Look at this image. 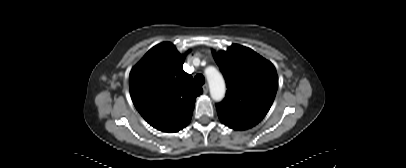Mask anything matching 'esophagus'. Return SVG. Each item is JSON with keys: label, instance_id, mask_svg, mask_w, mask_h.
<instances>
[{"label": "esophagus", "instance_id": "1", "mask_svg": "<svg viewBox=\"0 0 406 168\" xmlns=\"http://www.w3.org/2000/svg\"><path fill=\"white\" fill-rule=\"evenodd\" d=\"M208 90H209V87H208L207 84H205V85L203 86V92H204L205 94H207V93H208Z\"/></svg>", "mask_w": 406, "mask_h": 168}]
</instances>
